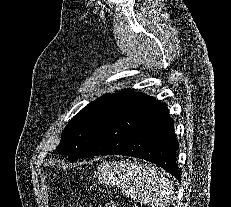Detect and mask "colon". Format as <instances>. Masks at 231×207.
<instances>
[{"instance_id": "obj_1", "label": "colon", "mask_w": 231, "mask_h": 207, "mask_svg": "<svg viewBox=\"0 0 231 207\" xmlns=\"http://www.w3.org/2000/svg\"><path fill=\"white\" fill-rule=\"evenodd\" d=\"M99 207H118V206L116 205V203L114 201L107 200L104 203H102Z\"/></svg>"}]
</instances>
